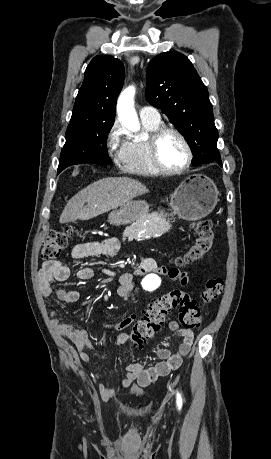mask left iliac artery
Listing matches in <instances>:
<instances>
[{"mask_svg":"<svg viewBox=\"0 0 271 459\" xmlns=\"http://www.w3.org/2000/svg\"><path fill=\"white\" fill-rule=\"evenodd\" d=\"M177 406H178L179 410L182 407V397H181L180 393H177Z\"/></svg>","mask_w":271,"mask_h":459,"instance_id":"1","label":"left iliac artery"}]
</instances>
